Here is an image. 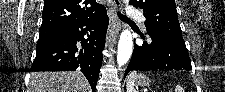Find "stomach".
<instances>
[{
    "label": "stomach",
    "mask_w": 225,
    "mask_h": 92,
    "mask_svg": "<svg viewBox=\"0 0 225 92\" xmlns=\"http://www.w3.org/2000/svg\"><path fill=\"white\" fill-rule=\"evenodd\" d=\"M135 83L139 86H147L149 85V79L146 77V75L140 73L137 75Z\"/></svg>",
    "instance_id": "obj_1"
}]
</instances>
